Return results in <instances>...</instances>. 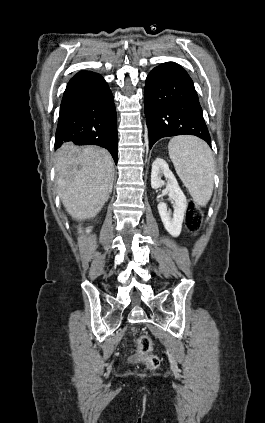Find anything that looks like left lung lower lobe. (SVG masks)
Wrapping results in <instances>:
<instances>
[{
    "label": "left lung lower lobe",
    "instance_id": "obj_1",
    "mask_svg": "<svg viewBox=\"0 0 265 423\" xmlns=\"http://www.w3.org/2000/svg\"><path fill=\"white\" fill-rule=\"evenodd\" d=\"M144 111L150 148L163 137L195 135L211 146L193 81L174 62L155 67L146 79Z\"/></svg>",
    "mask_w": 265,
    "mask_h": 423
}]
</instances>
